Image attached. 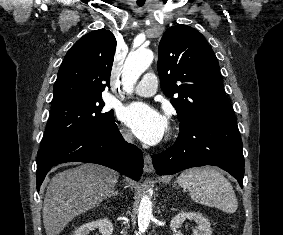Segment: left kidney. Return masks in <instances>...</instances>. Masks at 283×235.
Returning a JSON list of instances; mask_svg holds the SVG:
<instances>
[{"label":"left kidney","instance_id":"left-kidney-1","mask_svg":"<svg viewBox=\"0 0 283 235\" xmlns=\"http://www.w3.org/2000/svg\"><path fill=\"white\" fill-rule=\"evenodd\" d=\"M186 219L194 220L198 225L193 235H212L210 222L204 216L196 212H181L173 217L170 222L173 235H183L178 229Z\"/></svg>","mask_w":283,"mask_h":235}]
</instances>
